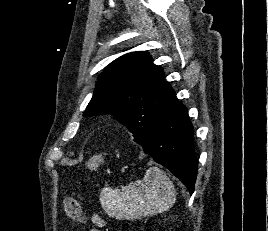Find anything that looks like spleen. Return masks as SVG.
<instances>
[{
    "instance_id": "1",
    "label": "spleen",
    "mask_w": 268,
    "mask_h": 231,
    "mask_svg": "<svg viewBox=\"0 0 268 231\" xmlns=\"http://www.w3.org/2000/svg\"><path fill=\"white\" fill-rule=\"evenodd\" d=\"M176 201L173 183L160 168L150 167L143 180L131 182L121 192L102 188L100 202L113 218L135 220L168 211Z\"/></svg>"
}]
</instances>
